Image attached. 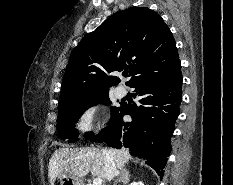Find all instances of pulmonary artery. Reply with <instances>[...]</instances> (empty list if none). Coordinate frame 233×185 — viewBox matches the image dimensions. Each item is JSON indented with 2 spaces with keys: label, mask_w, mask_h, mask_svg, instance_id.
Wrapping results in <instances>:
<instances>
[{
  "label": "pulmonary artery",
  "mask_w": 233,
  "mask_h": 185,
  "mask_svg": "<svg viewBox=\"0 0 233 185\" xmlns=\"http://www.w3.org/2000/svg\"><path fill=\"white\" fill-rule=\"evenodd\" d=\"M126 92V88L122 85L116 88V94L118 95V97H124L126 95Z\"/></svg>",
  "instance_id": "obj_1"
}]
</instances>
